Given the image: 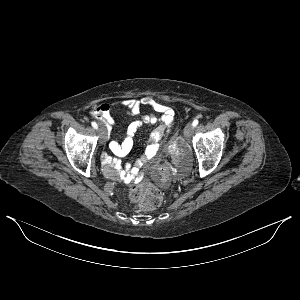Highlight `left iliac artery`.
<instances>
[{
  "label": "left iliac artery",
  "instance_id": "44dca946",
  "mask_svg": "<svg viewBox=\"0 0 300 300\" xmlns=\"http://www.w3.org/2000/svg\"><path fill=\"white\" fill-rule=\"evenodd\" d=\"M199 121L198 119H195L192 123L193 127H196L198 125Z\"/></svg>",
  "mask_w": 300,
  "mask_h": 300
}]
</instances>
